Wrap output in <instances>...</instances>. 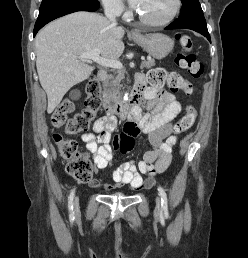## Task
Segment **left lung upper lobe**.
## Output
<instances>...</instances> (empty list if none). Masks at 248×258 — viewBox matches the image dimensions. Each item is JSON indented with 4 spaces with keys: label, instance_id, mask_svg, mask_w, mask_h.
<instances>
[{
    "label": "left lung upper lobe",
    "instance_id": "obj_1",
    "mask_svg": "<svg viewBox=\"0 0 248 258\" xmlns=\"http://www.w3.org/2000/svg\"><path fill=\"white\" fill-rule=\"evenodd\" d=\"M183 8L178 21H187L191 18L203 16V11L198 0H181Z\"/></svg>",
    "mask_w": 248,
    "mask_h": 258
}]
</instances>
